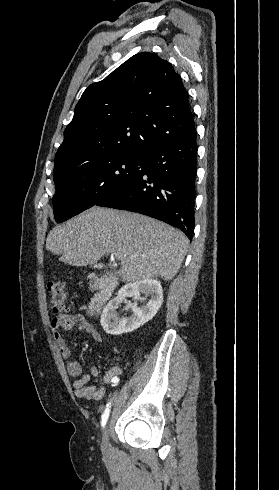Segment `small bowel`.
Masks as SVG:
<instances>
[{"label": "small bowel", "instance_id": "c3829d8e", "mask_svg": "<svg viewBox=\"0 0 279 490\" xmlns=\"http://www.w3.org/2000/svg\"><path fill=\"white\" fill-rule=\"evenodd\" d=\"M52 338L57 344L61 355L67 361L66 367L69 375L77 378L81 374L80 363L72 359L73 348L68 345L63 337L62 331H70L77 328L79 331L88 334L94 341L100 342L102 336L98 329L86 319L82 314H67L59 313L50 321ZM113 360L118 361L117 355L112 356ZM123 369L118 365L110 367L103 376V382L111 387H115L119 383ZM98 369L93 366L89 373L75 379L73 383L74 391L77 397L85 400H101L106 394L105 387H98ZM92 382V384H89Z\"/></svg>", "mask_w": 279, "mask_h": 490}]
</instances>
